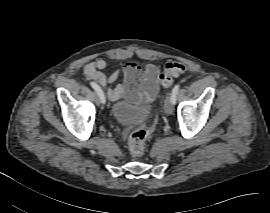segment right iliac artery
Returning <instances> with one entry per match:
<instances>
[{
	"label": "right iliac artery",
	"instance_id": "1",
	"mask_svg": "<svg viewBox=\"0 0 270 213\" xmlns=\"http://www.w3.org/2000/svg\"><path fill=\"white\" fill-rule=\"evenodd\" d=\"M90 85L97 92L98 96L100 97L101 102L105 103V96L101 88L95 82H90Z\"/></svg>",
	"mask_w": 270,
	"mask_h": 213
}]
</instances>
